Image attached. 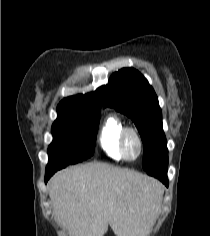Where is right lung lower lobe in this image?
<instances>
[{"mask_svg": "<svg viewBox=\"0 0 210 236\" xmlns=\"http://www.w3.org/2000/svg\"><path fill=\"white\" fill-rule=\"evenodd\" d=\"M66 164H55V165H47L46 173H45V183L49 180V178L58 170L66 167Z\"/></svg>", "mask_w": 210, "mask_h": 236, "instance_id": "98d812e1", "label": "right lung lower lobe"}]
</instances>
